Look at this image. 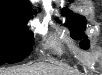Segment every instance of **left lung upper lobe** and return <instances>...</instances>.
I'll list each match as a JSON object with an SVG mask.
<instances>
[{"mask_svg": "<svg viewBox=\"0 0 102 75\" xmlns=\"http://www.w3.org/2000/svg\"><path fill=\"white\" fill-rule=\"evenodd\" d=\"M62 14L68 16V26L71 31V36L74 39H87V36L82 33L85 27V19L80 15L72 14L68 9H62ZM81 48L87 49L89 47L88 40H83L80 43Z\"/></svg>", "mask_w": 102, "mask_h": 75, "instance_id": "1", "label": "left lung upper lobe"}]
</instances>
